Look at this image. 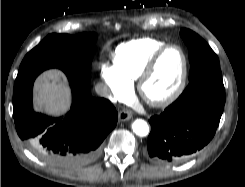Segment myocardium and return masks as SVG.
Masks as SVG:
<instances>
[{
	"instance_id": "f54148a6",
	"label": "myocardium",
	"mask_w": 245,
	"mask_h": 187,
	"mask_svg": "<svg viewBox=\"0 0 245 187\" xmlns=\"http://www.w3.org/2000/svg\"><path fill=\"white\" fill-rule=\"evenodd\" d=\"M170 49H177L182 56V71L175 88L166 96L160 99H152L145 93V85L154 74L162 56ZM188 77V58L183 48L177 44H166L160 48L147 62L137 79V90L141 98L150 106L156 108L167 107L175 102L183 93Z\"/></svg>"
}]
</instances>
